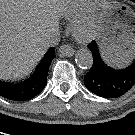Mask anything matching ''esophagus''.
Here are the masks:
<instances>
[{"instance_id":"obj_1","label":"esophagus","mask_w":135,"mask_h":135,"mask_svg":"<svg viewBox=\"0 0 135 135\" xmlns=\"http://www.w3.org/2000/svg\"><path fill=\"white\" fill-rule=\"evenodd\" d=\"M74 52V49L68 44H63L59 48V53L67 57L73 56Z\"/></svg>"}]
</instances>
